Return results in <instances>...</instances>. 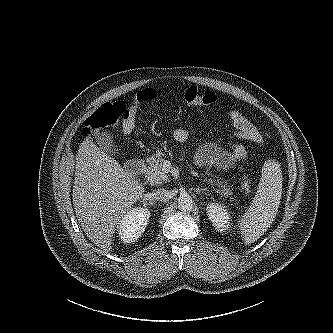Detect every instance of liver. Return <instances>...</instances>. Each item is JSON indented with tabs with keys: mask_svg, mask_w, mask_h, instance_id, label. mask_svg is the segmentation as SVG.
I'll use <instances>...</instances> for the list:
<instances>
[{
	"mask_svg": "<svg viewBox=\"0 0 333 333\" xmlns=\"http://www.w3.org/2000/svg\"><path fill=\"white\" fill-rule=\"evenodd\" d=\"M144 191L135 175L92 138L81 143L76 155L74 210L87 237L104 252L111 250L116 225Z\"/></svg>",
	"mask_w": 333,
	"mask_h": 333,
	"instance_id": "liver-1",
	"label": "liver"
}]
</instances>
